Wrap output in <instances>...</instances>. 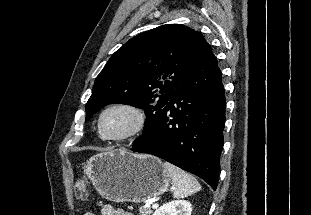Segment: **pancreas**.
Wrapping results in <instances>:
<instances>
[{
	"mask_svg": "<svg viewBox=\"0 0 311 215\" xmlns=\"http://www.w3.org/2000/svg\"><path fill=\"white\" fill-rule=\"evenodd\" d=\"M139 213L140 215H150L152 213V210L149 207L141 206L139 208Z\"/></svg>",
	"mask_w": 311,
	"mask_h": 215,
	"instance_id": "cf45deb5",
	"label": "pancreas"
}]
</instances>
